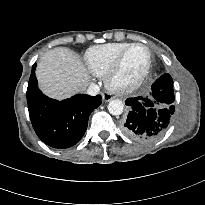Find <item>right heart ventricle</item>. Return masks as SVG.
Instances as JSON below:
<instances>
[{
	"label": "right heart ventricle",
	"mask_w": 205,
	"mask_h": 205,
	"mask_svg": "<svg viewBox=\"0 0 205 205\" xmlns=\"http://www.w3.org/2000/svg\"><path fill=\"white\" fill-rule=\"evenodd\" d=\"M130 43H107L89 48L84 55L87 69L95 76H104L113 65L119 54Z\"/></svg>",
	"instance_id": "e07e8e85"
}]
</instances>
